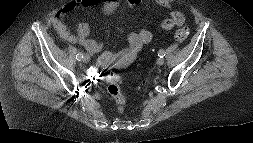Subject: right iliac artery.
Listing matches in <instances>:
<instances>
[{"mask_svg":"<svg viewBox=\"0 0 253 143\" xmlns=\"http://www.w3.org/2000/svg\"><path fill=\"white\" fill-rule=\"evenodd\" d=\"M82 58H83V54H82V53H78V54L76 55V59H77V60L81 61Z\"/></svg>","mask_w":253,"mask_h":143,"instance_id":"1","label":"right iliac artery"}]
</instances>
